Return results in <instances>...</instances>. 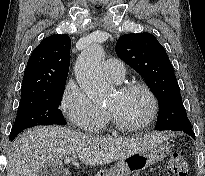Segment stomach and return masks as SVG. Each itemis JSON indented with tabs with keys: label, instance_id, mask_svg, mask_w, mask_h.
Segmentation results:
<instances>
[{
	"label": "stomach",
	"instance_id": "1",
	"mask_svg": "<svg viewBox=\"0 0 205 176\" xmlns=\"http://www.w3.org/2000/svg\"><path fill=\"white\" fill-rule=\"evenodd\" d=\"M169 152L170 144L165 141L160 142L149 149L121 159L112 170L104 172L103 176H127L145 170L150 165L162 161Z\"/></svg>",
	"mask_w": 205,
	"mask_h": 176
}]
</instances>
